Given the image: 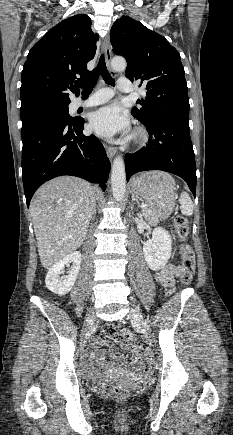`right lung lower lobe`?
Instances as JSON below:
<instances>
[{
	"label": "right lung lower lobe",
	"instance_id": "obj_1",
	"mask_svg": "<svg viewBox=\"0 0 233 435\" xmlns=\"http://www.w3.org/2000/svg\"><path fill=\"white\" fill-rule=\"evenodd\" d=\"M84 119L48 120L22 130V177L26 203L46 181L61 175L81 177L105 189L111 168L100 141L84 136Z\"/></svg>",
	"mask_w": 233,
	"mask_h": 435
}]
</instances>
